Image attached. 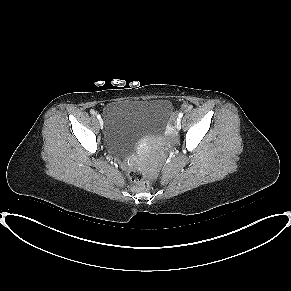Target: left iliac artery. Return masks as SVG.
I'll return each mask as SVG.
<instances>
[{
	"mask_svg": "<svg viewBox=\"0 0 291 291\" xmlns=\"http://www.w3.org/2000/svg\"><path fill=\"white\" fill-rule=\"evenodd\" d=\"M179 119H181L183 117V113L180 112L179 115H178Z\"/></svg>",
	"mask_w": 291,
	"mask_h": 291,
	"instance_id": "44dca946",
	"label": "left iliac artery"
}]
</instances>
